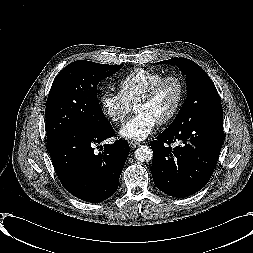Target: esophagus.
I'll return each mask as SVG.
<instances>
[{
  "instance_id": "1",
  "label": "esophagus",
  "mask_w": 253,
  "mask_h": 253,
  "mask_svg": "<svg viewBox=\"0 0 253 253\" xmlns=\"http://www.w3.org/2000/svg\"><path fill=\"white\" fill-rule=\"evenodd\" d=\"M129 145H130V147H132V148H136L137 146L140 145V143H139V142H136V141H133V140H130V141H129Z\"/></svg>"
}]
</instances>
